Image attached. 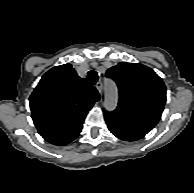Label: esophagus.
<instances>
[{"instance_id": "esophagus-1", "label": "esophagus", "mask_w": 194, "mask_h": 193, "mask_svg": "<svg viewBox=\"0 0 194 193\" xmlns=\"http://www.w3.org/2000/svg\"><path fill=\"white\" fill-rule=\"evenodd\" d=\"M96 88H97V90H98V92H99V94L100 95H102V90H103V87H102V82H97V84H96Z\"/></svg>"}]
</instances>
